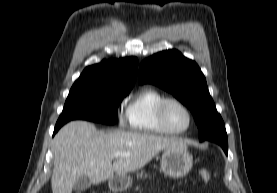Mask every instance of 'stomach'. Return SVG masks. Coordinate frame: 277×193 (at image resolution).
<instances>
[{"instance_id": "obj_1", "label": "stomach", "mask_w": 277, "mask_h": 193, "mask_svg": "<svg viewBox=\"0 0 277 193\" xmlns=\"http://www.w3.org/2000/svg\"><path fill=\"white\" fill-rule=\"evenodd\" d=\"M161 170L172 178L186 176L192 168L193 157L187 147L175 146L164 150L161 158ZM130 185V176L116 175L109 179V187L116 192L126 190Z\"/></svg>"}]
</instances>
